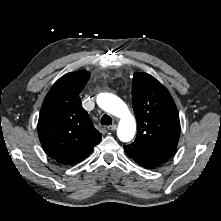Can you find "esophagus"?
<instances>
[{
    "label": "esophagus",
    "instance_id": "34e87169",
    "mask_svg": "<svg viewBox=\"0 0 221 221\" xmlns=\"http://www.w3.org/2000/svg\"><path fill=\"white\" fill-rule=\"evenodd\" d=\"M116 128H117L116 124L107 127V129L110 131H114V130H116Z\"/></svg>",
    "mask_w": 221,
    "mask_h": 221
}]
</instances>
